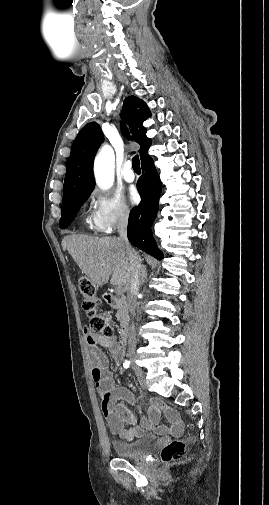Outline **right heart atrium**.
Wrapping results in <instances>:
<instances>
[{
  "mask_svg": "<svg viewBox=\"0 0 269 505\" xmlns=\"http://www.w3.org/2000/svg\"><path fill=\"white\" fill-rule=\"evenodd\" d=\"M129 216L130 209L121 196L103 191L91 194L90 222L97 231L111 232Z\"/></svg>",
  "mask_w": 269,
  "mask_h": 505,
  "instance_id": "1",
  "label": "right heart atrium"
}]
</instances>
